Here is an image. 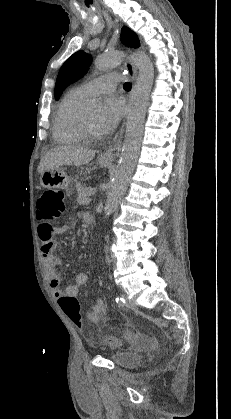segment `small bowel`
I'll return each instance as SVG.
<instances>
[{
	"label": "small bowel",
	"mask_w": 231,
	"mask_h": 419,
	"mask_svg": "<svg viewBox=\"0 0 231 419\" xmlns=\"http://www.w3.org/2000/svg\"><path fill=\"white\" fill-rule=\"evenodd\" d=\"M89 215L84 214L83 220L86 222V219ZM68 225H62L54 227L50 222H42L38 226V236L41 241V256L43 264L49 279L50 288L53 292V295L59 300L62 296H72L77 297L79 294V289L88 282V274L86 272H79L76 274L74 282L69 284L65 290L61 288L60 277L55 268V252L58 246L57 240L54 238L57 235H63L68 231ZM106 312V305L103 299H98L92 306L91 310L87 313L88 319L92 323H99ZM145 339L143 337L134 336L132 338L133 344H138L143 342Z\"/></svg>",
	"instance_id": "c3829d8e"
}]
</instances>
